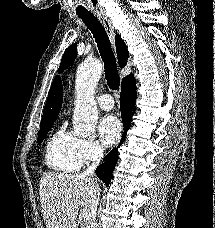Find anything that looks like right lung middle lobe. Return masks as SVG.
Instances as JSON below:
<instances>
[{"mask_svg":"<svg viewBox=\"0 0 215 228\" xmlns=\"http://www.w3.org/2000/svg\"><path fill=\"white\" fill-rule=\"evenodd\" d=\"M53 126V122L51 123H46V124H40V131L38 135V144H40L46 137L47 133Z\"/></svg>","mask_w":215,"mask_h":228,"instance_id":"1","label":"right lung middle lobe"}]
</instances>
